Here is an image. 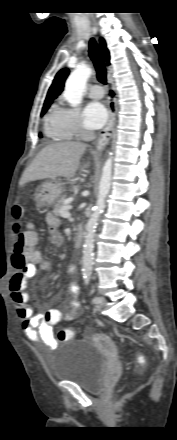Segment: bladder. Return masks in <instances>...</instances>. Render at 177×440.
Instances as JSON below:
<instances>
[{"instance_id":"1","label":"bladder","mask_w":177,"mask_h":440,"mask_svg":"<svg viewBox=\"0 0 177 440\" xmlns=\"http://www.w3.org/2000/svg\"><path fill=\"white\" fill-rule=\"evenodd\" d=\"M98 348L92 342L68 340L62 342L49 366L51 377L57 381L72 382L89 393L101 390L108 361L111 341Z\"/></svg>"}]
</instances>
